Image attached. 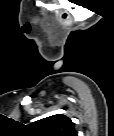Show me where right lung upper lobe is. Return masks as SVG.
Instances as JSON below:
<instances>
[{
    "label": "right lung upper lobe",
    "mask_w": 114,
    "mask_h": 136,
    "mask_svg": "<svg viewBox=\"0 0 114 136\" xmlns=\"http://www.w3.org/2000/svg\"><path fill=\"white\" fill-rule=\"evenodd\" d=\"M36 136H77L74 123L63 114L52 115L29 125Z\"/></svg>",
    "instance_id": "obj_1"
}]
</instances>
